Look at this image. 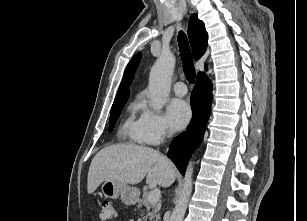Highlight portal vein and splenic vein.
I'll return each mask as SVG.
<instances>
[{"label": "portal vein and splenic vein", "mask_w": 307, "mask_h": 221, "mask_svg": "<svg viewBox=\"0 0 307 221\" xmlns=\"http://www.w3.org/2000/svg\"><path fill=\"white\" fill-rule=\"evenodd\" d=\"M161 191L158 188H155L150 191L148 199L151 203H157L160 200Z\"/></svg>", "instance_id": "18ae733b"}]
</instances>
